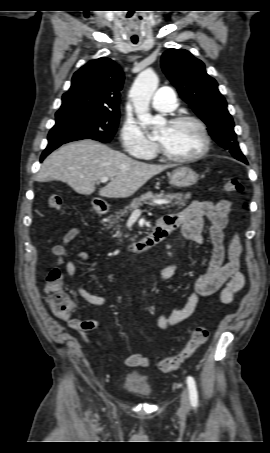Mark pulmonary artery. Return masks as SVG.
I'll list each match as a JSON object with an SVG mask.
<instances>
[{"label":"pulmonary artery","instance_id":"e3ab8cb5","mask_svg":"<svg viewBox=\"0 0 270 453\" xmlns=\"http://www.w3.org/2000/svg\"><path fill=\"white\" fill-rule=\"evenodd\" d=\"M151 105L160 112L174 111L177 106L175 92L169 87L158 89L151 100Z\"/></svg>","mask_w":270,"mask_h":453}]
</instances>
